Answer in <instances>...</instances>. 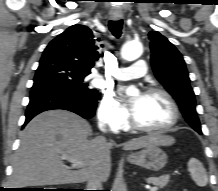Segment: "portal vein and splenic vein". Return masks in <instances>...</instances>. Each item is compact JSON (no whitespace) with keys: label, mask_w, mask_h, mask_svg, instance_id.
<instances>
[{"label":"portal vein and splenic vein","mask_w":218,"mask_h":191,"mask_svg":"<svg viewBox=\"0 0 218 191\" xmlns=\"http://www.w3.org/2000/svg\"><path fill=\"white\" fill-rule=\"evenodd\" d=\"M61 158L72 162L73 166L76 168H81L83 166V163L81 161L77 160L76 158H74L68 154L62 153ZM149 190L150 191H157L158 187H151Z\"/></svg>","instance_id":"obj_1"}]
</instances>
